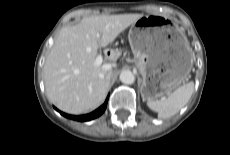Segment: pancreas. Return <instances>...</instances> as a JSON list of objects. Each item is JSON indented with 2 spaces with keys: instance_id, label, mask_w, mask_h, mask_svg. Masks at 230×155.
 <instances>
[{
  "instance_id": "1",
  "label": "pancreas",
  "mask_w": 230,
  "mask_h": 155,
  "mask_svg": "<svg viewBox=\"0 0 230 155\" xmlns=\"http://www.w3.org/2000/svg\"><path fill=\"white\" fill-rule=\"evenodd\" d=\"M120 55V53L119 52H117L115 55H113L111 58L113 59V60H115V59H117L118 58V56Z\"/></svg>"
}]
</instances>
